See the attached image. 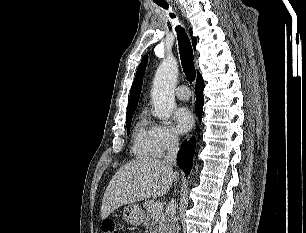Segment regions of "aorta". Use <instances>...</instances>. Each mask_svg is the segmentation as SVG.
<instances>
[{"mask_svg":"<svg viewBox=\"0 0 306 233\" xmlns=\"http://www.w3.org/2000/svg\"><path fill=\"white\" fill-rule=\"evenodd\" d=\"M178 78V64L175 58H165L157 68L151 92L154 115L168 119L175 107L174 91Z\"/></svg>","mask_w":306,"mask_h":233,"instance_id":"obj_1","label":"aorta"}]
</instances>
